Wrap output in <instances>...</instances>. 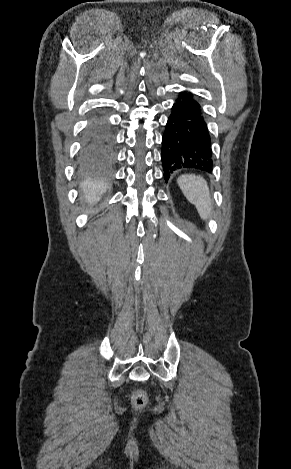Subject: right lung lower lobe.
Instances as JSON below:
<instances>
[{"label":"right lung lower lobe","instance_id":"1","mask_svg":"<svg viewBox=\"0 0 291 469\" xmlns=\"http://www.w3.org/2000/svg\"><path fill=\"white\" fill-rule=\"evenodd\" d=\"M114 162V140L108 126L99 119L85 129L79 166L87 170H109Z\"/></svg>","mask_w":291,"mask_h":469}]
</instances>
